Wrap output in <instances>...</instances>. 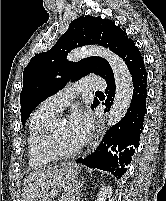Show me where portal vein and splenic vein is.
Here are the masks:
<instances>
[{
    "label": "portal vein and splenic vein",
    "instance_id": "portal-vein-and-splenic-vein-1",
    "mask_svg": "<svg viewBox=\"0 0 166 201\" xmlns=\"http://www.w3.org/2000/svg\"><path fill=\"white\" fill-rule=\"evenodd\" d=\"M64 190H65L66 192H68V191H70V188H69V187H65Z\"/></svg>",
    "mask_w": 166,
    "mask_h": 201
}]
</instances>
